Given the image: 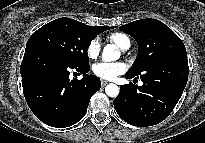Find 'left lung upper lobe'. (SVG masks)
<instances>
[{"label": "left lung upper lobe", "mask_w": 205, "mask_h": 143, "mask_svg": "<svg viewBox=\"0 0 205 143\" xmlns=\"http://www.w3.org/2000/svg\"><path fill=\"white\" fill-rule=\"evenodd\" d=\"M120 29L138 43V55L127 72L129 75H140L158 60L186 53L182 40L159 20L151 18L136 20L120 26Z\"/></svg>", "instance_id": "obj_1"}]
</instances>
